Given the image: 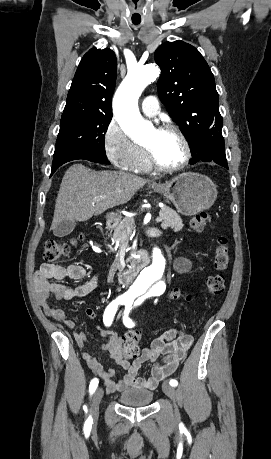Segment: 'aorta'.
Instances as JSON below:
<instances>
[{
    "instance_id": "aorta-1",
    "label": "aorta",
    "mask_w": 271,
    "mask_h": 459,
    "mask_svg": "<svg viewBox=\"0 0 271 459\" xmlns=\"http://www.w3.org/2000/svg\"><path fill=\"white\" fill-rule=\"evenodd\" d=\"M160 69L154 64L131 70L117 89L114 100V115L122 130L133 140L144 139L150 129L138 109V99L145 87L159 77ZM169 275L168 263L159 248L153 249L138 274L132 288L137 293L160 296L166 289Z\"/></svg>"
}]
</instances>
